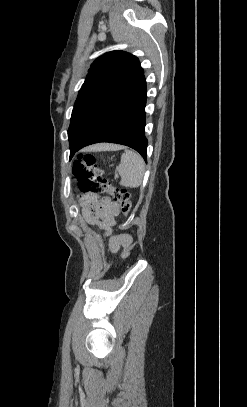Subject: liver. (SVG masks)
Masks as SVG:
<instances>
[{
    "label": "liver",
    "mask_w": 247,
    "mask_h": 407,
    "mask_svg": "<svg viewBox=\"0 0 247 407\" xmlns=\"http://www.w3.org/2000/svg\"><path fill=\"white\" fill-rule=\"evenodd\" d=\"M117 146L111 145V144H101L93 147L94 149L97 150H110V149H115Z\"/></svg>",
    "instance_id": "obj_1"
}]
</instances>
